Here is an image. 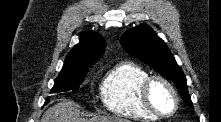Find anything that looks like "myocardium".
<instances>
[{
  "instance_id": "f54148a6",
  "label": "myocardium",
  "mask_w": 221,
  "mask_h": 122,
  "mask_svg": "<svg viewBox=\"0 0 221 122\" xmlns=\"http://www.w3.org/2000/svg\"><path fill=\"white\" fill-rule=\"evenodd\" d=\"M156 82L162 83L164 86H166L173 95L175 105H174L173 111L170 113H162L161 111H159L155 107V105L152 102L151 88H152L153 84ZM140 97H141V101H142L143 105L145 106V108L148 111H150L152 114H154L155 116L160 117V118L172 117L173 115L176 114V112L178 111L179 106H180V98H179L176 88L168 79H166L165 77L160 76V75L148 76L144 80V82L142 83V85L140 87Z\"/></svg>"
}]
</instances>
